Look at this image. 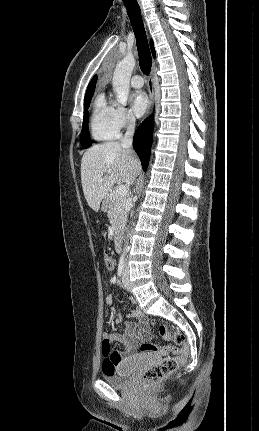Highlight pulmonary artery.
<instances>
[{"mask_svg":"<svg viewBox=\"0 0 259 431\" xmlns=\"http://www.w3.org/2000/svg\"><path fill=\"white\" fill-rule=\"evenodd\" d=\"M130 83H131V86L134 87V88H141L144 85V80H143L142 76H140V75H134L131 78Z\"/></svg>","mask_w":259,"mask_h":431,"instance_id":"pulmonary-artery-1","label":"pulmonary artery"}]
</instances>
